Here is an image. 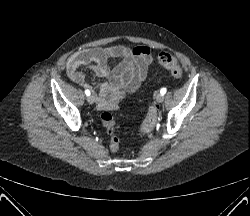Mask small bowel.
<instances>
[{"label":"small bowel","mask_w":250,"mask_h":216,"mask_svg":"<svg viewBox=\"0 0 250 216\" xmlns=\"http://www.w3.org/2000/svg\"><path fill=\"white\" fill-rule=\"evenodd\" d=\"M119 59L111 67L110 60ZM148 46L127 47L114 45L105 48L83 49L73 54L66 67L67 76L74 83L93 91L98 107L104 109L122 98L123 94L136 91L147 76L152 63ZM90 68L106 82L92 85L87 82L84 69Z\"/></svg>","instance_id":"c3829d8e"}]
</instances>
